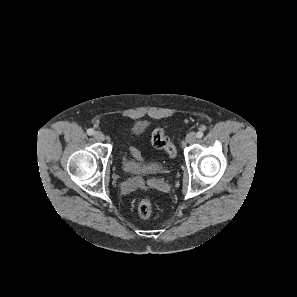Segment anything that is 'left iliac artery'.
<instances>
[{
	"instance_id": "44dca946",
	"label": "left iliac artery",
	"mask_w": 297,
	"mask_h": 297,
	"mask_svg": "<svg viewBox=\"0 0 297 297\" xmlns=\"http://www.w3.org/2000/svg\"><path fill=\"white\" fill-rule=\"evenodd\" d=\"M196 137L199 138V139L202 138L203 137V132L202 131L197 132Z\"/></svg>"
}]
</instances>
